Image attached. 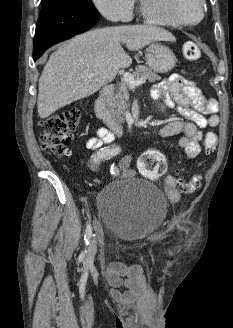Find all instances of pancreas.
<instances>
[{
	"label": "pancreas",
	"mask_w": 233,
	"mask_h": 328,
	"mask_svg": "<svg viewBox=\"0 0 233 328\" xmlns=\"http://www.w3.org/2000/svg\"><path fill=\"white\" fill-rule=\"evenodd\" d=\"M132 76L135 79L144 77L148 82L161 80L160 76L144 65L136 67L135 71L132 73ZM129 99V85L122 80L117 86L116 93L109 96L107 100V108L110 115L120 123L124 121L125 112L129 107Z\"/></svg>",
	"instance_id": "cf45deb5"
}]
</instances>
